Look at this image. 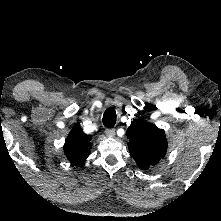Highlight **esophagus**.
Wrapping results in <instances>:
<instances>
[{
	"label": "esophagus",
	"mask_w": 221,
	"mask_h": 221,
	"mask_svg": "<svg viewBox=\"0 0 221 221\" xmlns=\"http://www.w3.org/2000/svg\"><path fill=\"white\" fill-rule=\"evenodd\" d=\"M105 134H106V136H108V137H114V136H115V129H113V128H107V129L105 130Z\"/></svg>",
	"instance_id": "34e87169"
}]
</instances>
